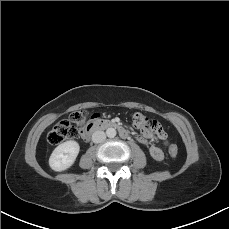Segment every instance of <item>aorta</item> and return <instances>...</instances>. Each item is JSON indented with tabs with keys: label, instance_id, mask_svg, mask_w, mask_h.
Listing matches in <instances>:
<instances>
[{
	"label": "aorta",
	"instance_id": "aorta-1",
	"mask_svg": "<svg viewBox=\"0 0 229 229\" xmlns=\"http://www.w3.org/2000/svg\"><path fill=\"white\" fill-rule=\"evenodd\" d=\"M116 130L115 128H108L106 130V135L109 137V138H114L116 136Z\"/></svg>",
	"mask_w": 229,
	"mask_h": 229
}]
</instances>
